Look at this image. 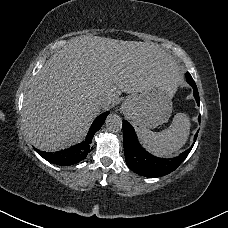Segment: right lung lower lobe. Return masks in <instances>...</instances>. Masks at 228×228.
<instances>
[{
  "label": "right lung lower lobe",
  "mask_w": 228,
  "mask_h": 228,
  "mask_svg": "<svg viewBox=\"0 0 228 228\" xmlns=\"http://www.w3.org/2000/svg\"><path fill=\"white\" fill-rule=\"evenodd\" d=\"M108 114L109 111L99 115L94 120L87 134L86 140L80 144H77L65 150L58 151L56 153L43 152L35 148L34 149L41 157L53 164L63 166L76 164L85 159L87 154L90 152V143L92 141V138L94 134L101 128Z\"/></svg>",
  "instance_id": "obj_1"
}]
</instances>
